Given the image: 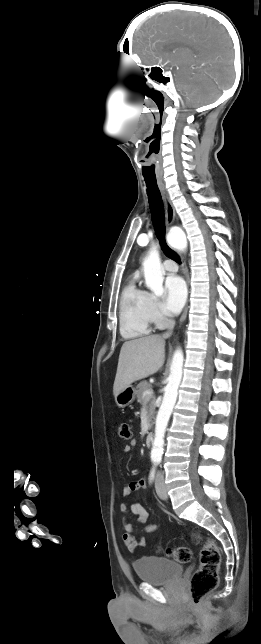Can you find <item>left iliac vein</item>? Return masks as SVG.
Here are the masks:
<instances>
[{"instance_id": "1", "label": "left iliac vein", "mask_w": 261, "mask_h": 644, "mask_svg": "<svg viewBox=\"0 0 261 644\" xmlns=\"http://www.w3.org/2000/svg\"><path fill=\"white\" fill-rule=\"evenodd\" d=\"M155 489H156L157 495L161 499L166 500L168 498L167 490L164 484V478L160 472L157 474V477H156Z\"/></svg>"}]
</instances>
